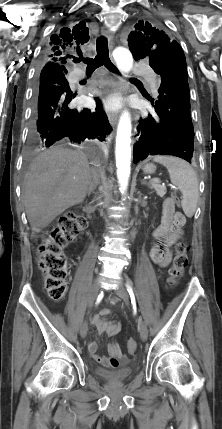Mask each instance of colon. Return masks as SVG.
Returning a JSON list of instances; mask_svg holds the SVG:
<instances>
[{
    "instance_id": "obj_1",
    "label": "colon",
    "mask_w": 222,
    "mask_h": 429,
    "mask_svg": "<svg viewBox=\"0 0 222 429\" xmlns=\"http://www.w3.org/2000/svg\"><path fill=\"white\" fill-rule=\"evenodd\" d=\"M170 201L173 204H179L180 198L177 194H173ZM85 222V218L78 213H65L51 229L48 238L39 246L38 266L43 272L44 288L54 300L62 299L67 290L68 264L63 249L78 237L85 227ZM187 266V246L180 242L176 246V253L169 269L170 284L177 283ZM136 346L134 339L130 338L127 341V349L130 353L136 350Z\"/></svg>"
}]
</instances>
